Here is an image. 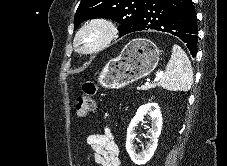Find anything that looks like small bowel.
I'll return each instance as SVG.
<instances>
[{
	"label": "small bowel",
	"instance_id": "1",
	"mask_svg": "<svg viewBox=\"0 0 227 166\" xmlns=\"http://www.w3.org/2000/svg\"><path fill=\"white\" fill-rule=\"evenodd\" d=\"M108 118L109 114L105 113L104 119L107 120ZM86 142L92 149L88 159L96 166H120L119 148L108 126L104 127L102 134L87 136Z\"/></svg>",
	"mask_w": 227,
	"mask_h": 166
}]
</instances>
